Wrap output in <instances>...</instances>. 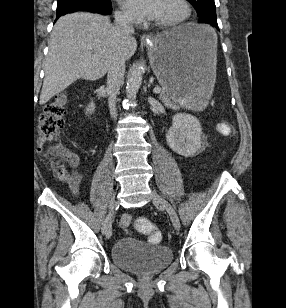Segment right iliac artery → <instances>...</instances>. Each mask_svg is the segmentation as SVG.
<instances>
[{
    "mask_svg": "<svg viewBox=\"0 0 286 308\" xmlns=\"http://www.w3.org/2000/svg\"><path fill=\"white\" fill-rule=\"evenodd\" d=\"M113 215H114V212L109 213V214L107 215V217L105 218V220L103 221V224H102V225H103V226H102V233H105L106 224L108 223L109 220L112 219Z\"/></svg>",
    "mask_w": 286,
    "mask_h": 308,
    "instance_id": "obj_1",
    "label": "right iliac artery"
}]
</instances>
